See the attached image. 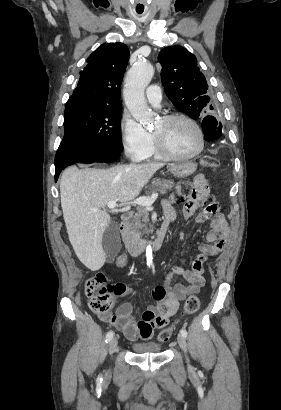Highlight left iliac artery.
Instances as JSON below:
<instances>
[{
  "mask_svg": "<svg viewBox=\"0 0 281 410\" xmlns=\"http://www.w3.org/2000/svg\"><path fill=\"white\" fill-rule=\"evenodd\" d=\"M180 334L183 336V337H187V335H188V333H187V331L185 330V329H181L180 330Z\"/></svg>",
  "mask_w": 281,
  "mask_h": 410,
  "instance_id": "1",
  "label": "left iliac artery"
}]
</instances>
